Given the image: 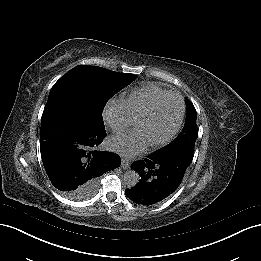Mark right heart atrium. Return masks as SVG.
Wrapping results in <instances>:
<instances>
[{"mask_svg": "<svg viewBox=\"0 0 261 261\" xmlns=\"http://www.w3.org/2000/svg\"><path fill=\"white\" fill-rule=\"evenodd\" d=\"M125 112L122 103L109 101L103 109L102 118L105 125L115 132H120L125 126Z\"/></svg>", "mask_w": 261, "mask_h": 261, "instance_id": "d8ad5b80", "label": "right heart atrium"}]
</instances>
